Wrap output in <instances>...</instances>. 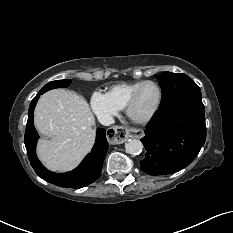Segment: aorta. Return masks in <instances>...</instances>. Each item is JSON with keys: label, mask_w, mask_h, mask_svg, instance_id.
Segmentation results:
<instances>
[{"label": "aorta", "mask_w": 233, "mask_h": 233, "mask_svg": "<svg viewBox=\"0 0 233 233\" xmlns=\"http://www.w3.org/2000/svg\"><path fill=\"white\" fill-rule=\"evenodd\" d=\"M143 144L140 140L137 139H129L125 143V150L128 154L138 155L142 152Z\"/></svg>", "instance_id": "aorta-1"}]
</instances>
